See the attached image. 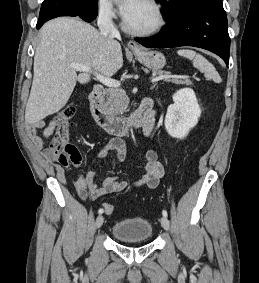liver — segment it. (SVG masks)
Segmentation results:
<instances>
[{
  "label": "liver",
  "instance_id": "liver-1",
  "mask_svg": "<svg viewBox=\"0 0 259 283\" xmlns=\"http://www.w3.org/2000/svg\"><path fill=\"white\" fill-rule=\"evenodd\" d=\"M70 64L89 66L110 77L123 66L121 46L108 42L90 24L79 18L58 17L40 30L34 56V76L26 104L25 120L35 124L61 110L68 102L76 82L86 84L92 72L79 75Z\"/></svg>",
  "mask_w": 259,
  "mask_h": 283
}]
</instances>
